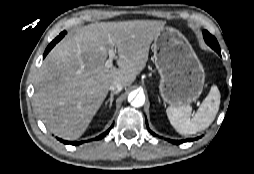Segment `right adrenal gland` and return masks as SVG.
<instances>
[{
  "label": "right adrenal gland",
  "mask_w": 254,
  "mask_h": 174,
  "mask_svg": "<svg viewBox=\"0 0 254 174\" xmlns=\"http://www.w3.org/2000/svg\"><path fill=\"white\" fill-rule=\"evenodd\" d=\"M115 94H117V92H113L110 94V98L105 102L104 108L108 105V103H109V109L111 108Z\"/></svg>",
  "instance_id": "2a0ac1e0"
}]
</instances>
